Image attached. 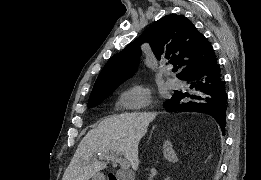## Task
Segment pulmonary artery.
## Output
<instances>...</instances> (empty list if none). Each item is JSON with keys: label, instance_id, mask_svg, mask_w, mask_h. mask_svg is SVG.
Here are the masks:
<instances>
[{"label": "pulmonary artery", "instance_id": "e3ab8cb5", "mask_svg": "<svg viewBox=\"0 0 261 180\" xmlns=\"http://www.w3.org/2000/svg\"><path fill=\"white\" fill-rule=\"evenodd\" d=\"M166 84L169 88H176V87H179L181 83L176 78H170L167 80Z\"/></svg>", "mask_w": 261, "mask_h": 180}]
</instances>
